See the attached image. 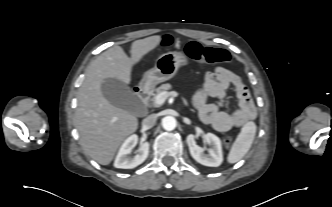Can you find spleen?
I'll return each mask as SVG.
<instances>
[{"label":"spleen","instance_id":"obj_1","mask_svg":"<svg viewBox=\"0 0 332 207\" xmlns=\"http://www.w3.org/2000/svg\"><path fill=\"white\" fill-rule=\"evenodd\" d=\"M256 134V124L247 122L241 129V132L234 141L227 157L229 163H236L241 160L251 148Z\"/></svg>","mask_w":332,"mask_h":207}]
</instances>
